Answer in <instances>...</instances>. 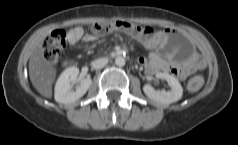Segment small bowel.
Instances as JSON below:
<instances>
[{
    "instance_id": "small-bowel-1",
    "label": "small bowel",
    "mask_w": 238,
    "mask_h": 145,
    "mask_svg": "<svg viewBox=\"0 0 238 145\" xmlns=\"http://www.w3.org/2000/svg\"><path fill=\"white\" fill-rule=\"evenodd\" d=\"M82 33L83 31L81 28L72 29L68 34L69 41L71 43H76L82 36ZM87 39L93 40L94 37L88 36ZM156 45H159L161 48H169L173 50V47L167 44L164 35H157L153 37L148 44H144L146 48H153ZM139 62L144 65L146 70L150 73L171 71L182 79L189 74L204 69L205 67L204 59L195 53L189 55L185 60L173 62L163 59L157 52H151L147 59L141 58Z\"/></svg>"
}]
</instances>
